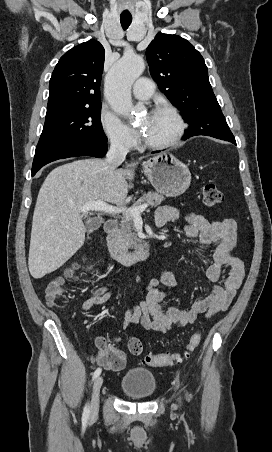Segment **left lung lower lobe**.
<instances>
[{
	"instance_id": "obj_1",
	"label": "left lung lower lobe",
	"mask_w": 272,
	"mask_h": 452,
	"mask_svg": "<svg viewBox=\"0 0 272 452\" xmlns=\"http://www.w3.org/2000/svg\"><path fill=\"white\" fill-rule=\"evenodd\" d=\"M195 135H203V134H201L199 132L187 131L185 133V135L183 136V139H187V138L195 136ZM215 138L227 140V141H230V142L236 144L234 136H220V137H215Z\"/></svg>"
}]
</instances>
